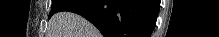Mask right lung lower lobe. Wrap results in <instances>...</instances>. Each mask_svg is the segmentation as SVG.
Instances as JSON below:
<instances>
[{
    "label": "right lung lower lobe",
    "mask_w": 219,
    "mask_h": 37,
    "mask_svg": "<svg viewBox=\"0 0 219 37\" xmlns=\"http://www.w3.org/2000/svg\"><path fill=\"white\" fill-rule=\"evenodd\" d=\"M80 14L104 37H150L159 11L157 0H71L59 10Z\"/></svg>",
    "instance_id": "right-lung-lower-lobe-1"
}]
</instances>
